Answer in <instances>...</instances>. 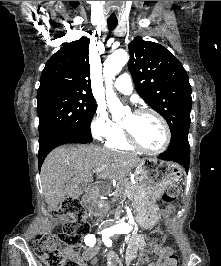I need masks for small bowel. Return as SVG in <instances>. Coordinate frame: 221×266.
Here are the masks:
<instances>
[{
  "instance_id": "c3829d8e",
  "label": "small bowel",
  "mask_w": 221,
  "mask_h": 266,
  "mask_svg": "<svg viewBox=\"0 0 221 266\" xmlns=\"http://www.w3.org/2000/svg\"><path fill=\"white\" fill-rule=\"evenodd\" d=\"M172 208H166L165 213H170ZM61 221H65L66 218H60ZM144 243V236L140 233H133L130 235L127 242L125 251V262L130 266L133 261L137 258L138 254L141 252ZM88 246V245H87ZM99 245L88 247L84 250L83 254L80 256L75 252H68L67 258L76 263L77 266H88L90 262L96 261V254L98 252ZM174 253L173 249L170 247H161L155 250L156 258L153 262L149 263L148 266H167L166 261L170 254ZM107 266H123L118 256L110 252L106 255Z\"/></svg>"
}]
</instances>
